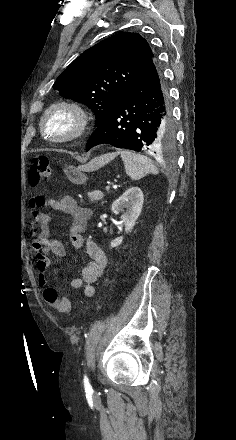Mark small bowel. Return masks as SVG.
<instances>
[{
	"instance_id": "c3829d8e",
	"label": "small bowel",
	"mask_w": 236,
	"mask_h": 440,
	"mask_svg": "<svg viewBox=\"0 0 236 440\" xmlns=\"http://www.w3.org/2000/svg\"><path fill=\"white\" fill-rule=\"evenodd\" d=\"M29 206L32 210V221L28 226V233L32 238V247L35 251V270L37 282L41 288L46 287V270L50 265V255L64 257V244L51 237L48 229L49 215L43 208H53L69 213L72 216L70 241L74 248H85L89 261L85 264L79 277L72 278L69 287L73 290L83 288L86 297L95 294V282L101 277L107 266V256L104 251L92 240H85L87 221L91 216L88 208L78 205L76 200L68 195L49 197L37 194L31 197Z\"/></svg>"
}]
</instances>
